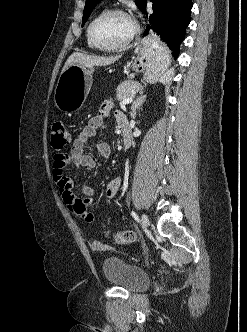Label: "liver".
<instances>
[{
	"instance_id": "1",
	"label": "liver",
	"mask_w": 247,
	"mask_h": 332,
	"mask_svg": "<svg viewBox=\"0 0 247 332\" xmlns=\"http://www.w3.org/2000/svg\"><path fill=\"white\" fill-rule=\"evenodd\" d=\"M118 59L119 56L104 57V56L89 55L81 52H75L72 55H70V57L65 62L62 72H64L69 66L73 64L85 65L91 67L107 66L111 65Z\"/></svg>"
}]
</instances>
